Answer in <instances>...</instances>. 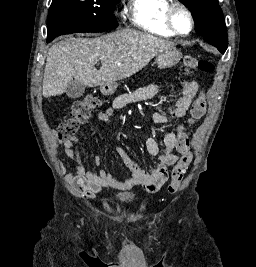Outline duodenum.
<instances>
[{
	"mask_svg": "<svg viewBox=\"0 0 256 267\" xmlns=\"http://www.w3.org/2000/svg\"><path fill=\"white\" fill-rule=\"evenodd\" d=\"M100 94H115L116 88H119V83L116 78H107V81H102L99 85Z\"/></svg>",
	"mask_w": 256,
	"mask_h": 267,
	"instance_id": "duodenum-1",
	"label": "duodenum"
}]
</instances>
